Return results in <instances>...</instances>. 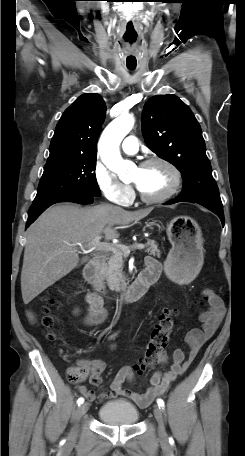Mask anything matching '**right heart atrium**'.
Segmentation results:
<instances>
[{"mask_svg": "<svg viewBox=\"0 0 245 456\" xmlns=\"http://www.w3.org/2000/svg\"><path fill=\"white\" fill-rule=\"evenodd\" d=\"M93 176L98 189L106 199L122 206H126L131 202L133 197L132 188L121 182L100 161H97L94 165Z\"/></svg>", "mask_w": 245, "mask_h": 456, "instance_id": "right-heart-atrium-1", "label": "right heart atrium"}]
</instances>
